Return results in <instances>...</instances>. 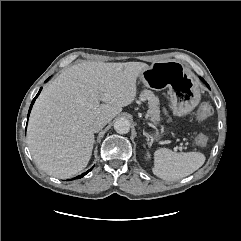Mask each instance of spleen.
<instances>
[{
	"mask_svg": "<svg viewBox=\"0 0 241 241\" xmlns=\"http://www.w3.org/2000/svg\"><path fill=\"white\" fill-rule=\"evenodd\" d=\"M205 162L200 152L176 153L167 148L154 152L152 171L157 177L173 181L184 178L198 170Z\"/></svg>",
	"mask_w": 241,
	"mask_h": 241,
	"instance_id": "spleen-1",
	"label": "spleen"
}]
</instances>
